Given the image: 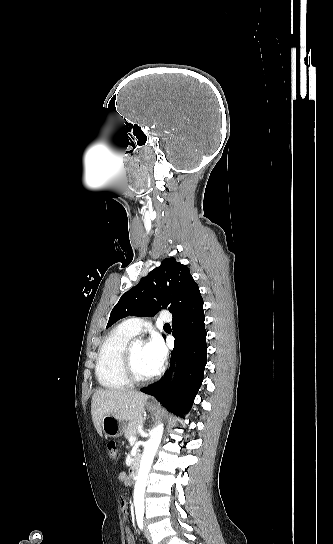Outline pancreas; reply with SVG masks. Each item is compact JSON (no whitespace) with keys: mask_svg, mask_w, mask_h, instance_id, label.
Returning a JSON list of instances; mask_svg holds the SVG:
<instances>
[{"mask_svg":"<svg viewBox=\"0 0 333 544\" xmlns=\"http://www.w3.org/2000/svg\"><path fill=\"white\" fill-rule=\"evenodd\" d=\"M143 418H138L137 420H134L130 422L125 429L124 436L125 438H130L131 436H136L138 433V427L143 422Z\"/></svg>","mask_w":333,"mask_h":544,"instance_id":"1","label":"pancreas"}]
</instances>
